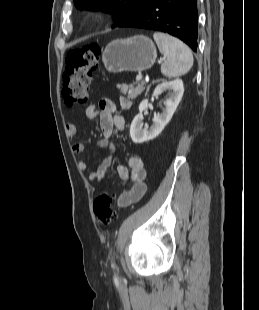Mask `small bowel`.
Masks as SVG:
<instances>
[{
  "instance_id": "obj_1",
  "label": "small bowel",
  "mask_w": 259,
  "mask_h": 310,
  "mask_svg": "<svg viewBox=\"0 0 259 310\" xmlns=\"http://www.w3.org/2000/svg\"><path fill=\"white\" fill-rule=\"evenodd\" d=\"M119 104L122 110H128L131 107V102L121 97ZM117 106L115 102L108 98L101 99L98 104H90L86 108V116L90 120L99 119L100 129L103 138L98 140L96 145L100 148H109L111 154L107 156L101 164L87 173L89 182H100L105 177L109 167L112 163V154L116 151L119 145L111 141V137L116 130H124L125 120L122 116L116 115ZM78 133V128L74 123H67L66 135L73 139ZM85 146L83 143H75L73 151L75 153L83 152ZM78 167L85 171L88 168V160H80ZM146 169L143 160L138 156H131L128 159V167L125 165H118L114 174V178L119 182L130 181L132 187L129 191L122 193L118 198V207L124 208L133 203L140 201L147 192L146 184Z\"/></svg>"
}]
</instances>
